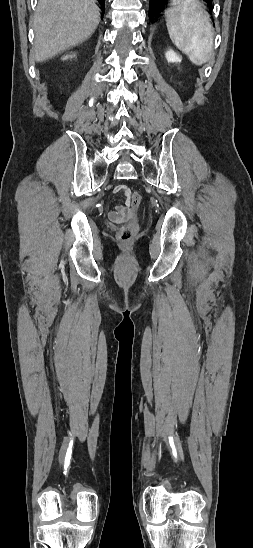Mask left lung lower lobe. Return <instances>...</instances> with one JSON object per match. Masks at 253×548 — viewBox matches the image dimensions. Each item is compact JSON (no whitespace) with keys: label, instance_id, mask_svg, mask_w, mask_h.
<instances>
[{"label":"left lung lower lobe","instance_id":"obj_1","mask_svg":"<svg viewBox=\"0 0 253 548\" xmlns=\"http://www.w3.org/2000/svg\"><path fill=\"white\" fill-rule=\"evenodd\" d=\"M168 0H150V8H149V14L152 16L155 13H157L163 4L167 2ZM208 3L209 7H212V1L213 0H204Z\"/></svg>","mask_w":253,"mask_h":548}]
</instances>
